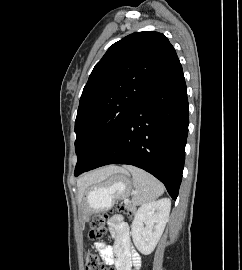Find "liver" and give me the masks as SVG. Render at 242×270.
<instances>
[{"label":"liver","mask_w":242,"mask_h":270,"mask_svg":"<svg viewBox=\"0 0 242 270\" xmlns=\"http://www.w3.org/2000/svg\"><path fill=\"white\" fill-rule=\"evenodd\" d=\"M121 170V168L116 167V166H109L100 170H96L93 171L91 173H88L86 175H84L83 177H81L78 181H77V186H78V190H79V198L82 197L85 189L88 186H91L95 183L104 181L105 179H107L110 175H112L114 172Z\"/></svg>","instance_id":"6515ba94"}]
</instances>
